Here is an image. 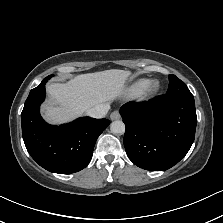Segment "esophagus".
<instances>
[{"label": "esophagus", "instance_id": "obj_1", "mask_svg": "<svg viewBox=\"0 0 223 223\" xmlns=\"http://www.w3.org/2000/svg\"><path fill=\"white\" fill-rule=\"evenodd\" d=\"M111 120H119L121 118L120 113L115 110L110 115Z\"/></svg>", "mask_w": 223, "mask_h": 223}]
</instances>
